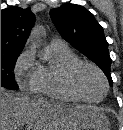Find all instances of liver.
<instances>
[{
  "label": "liver",
  "mask_w": 123,
  "mask_h": 130,
  "mask_svg": "<svg viewBox=\"0 0 123 130\" xmlns=\"http://www.w3.org/2000/svg\"><path fill=\"white\" fill-rule=\"evenodd\" d=\"M104 119L93 106H71L1 87V130H74L100 129Z\"/></svg>",
  "instance_id": "liver-1"
}]
</instances>
